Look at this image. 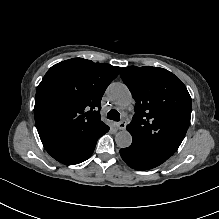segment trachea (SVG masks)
I'll list each match as a JSON object with an SVG mask.
<instances>
[{"instance_id": "3493384b", "label": "trachea", "mask_w": 219, "mask_h": 219, "mask_svg": "<svg viewBox=\"0 0 219 219\" xmlns=\"http://www.w3.org/2000/svg\"><path fill=\"white\" fill-rule=\"evenodd\" d=\"M107 118L114 121H119L120 113L117 110H110L107 114Z\"/></svg>"}]
</instances>
